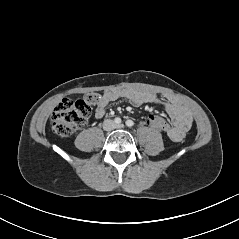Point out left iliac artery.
<instances>
[{"instance_id": "44dca946", "label": "left iliac artery", "mask_w": 239, "mask_h": 239, "mask_svg": "<svg viewBox=\"0 0 239 239\" xmlns=\"http://www.w3.org/2000/svg\"><path fill=\"white\" fill-rule=\"evenodd\" d=\"M126 125H127L128 127H132V126L134 125V122L129 119V120L126 121Z\"/></svg>"}]
</instances>
